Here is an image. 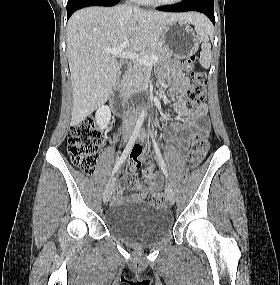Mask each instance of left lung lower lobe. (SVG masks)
<instances>
[{"label": "left lung lower lobe", "mask_w": 280, "mask_h": 285, "mask_svg": "<svg viewBox=\"0 0 280 285\" xmlns=\"http://www.w3.org/2000/svg\"><path fill=\"white\" fill-rule=\"evenodd\" d=\"M158 10L167 12L198 11L204 13L215 25L214 0H182L175 5L159 7Z\"/></svg>", "instance_id": "1"}]
</instances>
